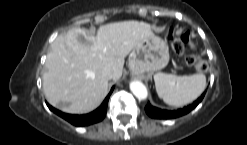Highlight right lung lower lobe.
Wrapping results in <instances>:
<instances>
[{
    "mask_svg": "<svg viewBox=\"0 0 247 145\" xmlns=\"http://www.w3.org/2000/svg\"><path fill=\"white\" fill-rule=\"evenodd\" d=\"M113 89H114V87H112L111 92L105 98V100L103 101L101 106L89 114H84V115L66 114V113H63V112L53 108L49 104H47V105L51 111H53L55 114L59 115L63 119L67 120L71 124H73L75 126H86V125H90V124L99 122L105 117L106 110H107V103H108L109 97H110Z\"/></svg>",
    "mask_w": 247,
    "mask_h": 145,
    "instance_id": "98d812e1",
    "label": "right lung lower lobe"
}]
</instances>
